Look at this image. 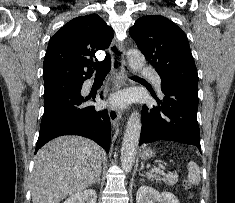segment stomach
Returning a JSON list of instances; mask_svg holds the SVG:
<instances>
[{
  "instance_id": "obj_1",
  "label": "stomach",
  "mask_w": 235,
  "mask_h": 203,
  "mask_svg": "<svg viewBox=\"0 0 235 203\" xmlns=\"http://www.w3.org/2000/svg\"><path fill=\"white\" fill-rule=\"evenodd\" d=\"M153 156H154V152L150 148H144L142 150V153H141L142 159H144V160L150 159Z\"/></svg>"
}]
</instances>
